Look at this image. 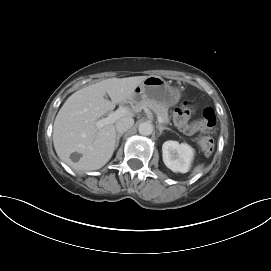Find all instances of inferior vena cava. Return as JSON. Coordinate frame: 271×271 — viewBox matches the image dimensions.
I'll return each instance as SVG.
<instances>
[{"instance_id": "obj_1", "label": "inferior vena cava", "mask_w": 271, "mask_h": 271, "mask_svg": "<svg viewBox=\"0 0 271 271\" xmlns=\"http://www.w3.org/2000/svg\"><path fill=\"white\" fill-rule=\"evenodd\" d=\"M134 125V119L132 117H123L116 122V130L118 134L124 133Z\"/></svg>"}]
</instances>
